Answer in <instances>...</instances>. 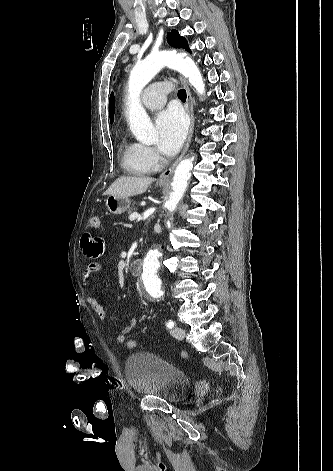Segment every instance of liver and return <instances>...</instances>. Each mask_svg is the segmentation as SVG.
<instances>
[{
    "label": "liver",
    "mask_w": 333,
    "mask_h": 471,
    "mask_svg": "<svg viewBox=\"0 0 333 471\" xmlns=\"http://www.w3.org/2000/svg\"><path fill=\"white\" fill-rule=\"evenodd\" d=\"M155 179L151 177L122 176L105 191V195L129 197L144 193Z\"/></svg>",
    "instance_id": "6515ba94"
}]
</instances>
